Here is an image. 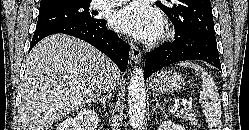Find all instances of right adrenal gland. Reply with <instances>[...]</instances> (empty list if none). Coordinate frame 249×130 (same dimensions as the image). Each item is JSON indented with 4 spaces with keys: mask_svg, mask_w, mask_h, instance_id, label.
Masks as SVG:
<instances>
[{
    "mask_svg": "<svg viewBox=\"0 0 249 130\" xmlns=\"http://www.w3.org/2000/svg\"><path fill=\"white\" fill-rule=\"evenodd\" d=\"M111 98V94L108 93L106 94L105 96L101 97V98H97L94 102H101L103 107L106 108V101L107 99H110Z\"/></svg>",
    "mask_w": 249,
    "mask_h": 130,
    "instance_id": "right-adrenal-gland-1",
    "label": "right adrenal gland"
}]
</instances>
